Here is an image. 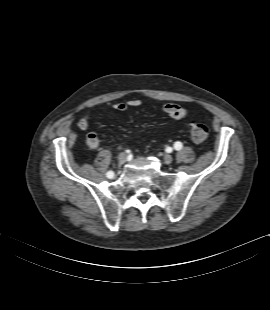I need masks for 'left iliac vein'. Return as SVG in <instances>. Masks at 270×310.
<instances>
[{
	"mask_svg": "<svg viewBox=\"0 0 270 310\" xmlns=\"http://www.w3.org/2000/svg\"><path fill=\"white\" fill-rule=\"evenodd\" d=\"M163 159L166 164H170L173 158L170 154H165Z\"/></svg>",
	"mask_w": 270,
	"mask_h": 310,
	"instance_id": "1",
	"label": "left iliac vein"
}]
</instances>
